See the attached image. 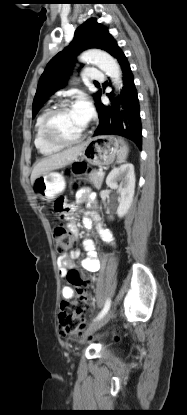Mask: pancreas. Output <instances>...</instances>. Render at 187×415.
Instances as JSON below:
<instances>
[{
	"instance_id": "1",
	"label": "pancreas",
	"mask_w": 187,
	"mask_h": 415,
	"mask_svg": "<svg viewBox=\"0 0 187 415\" xmlns=\"http://www.w3.org/2000/svg\"><path fill=\"white\" fill-rule=\"evenodd\" d=\"M86 175H88L90 182H92L95 188H101L105 176L104 173L102 175H99L97 170H92L89 173H86Z\"/></svg>"
}]
</instances>
